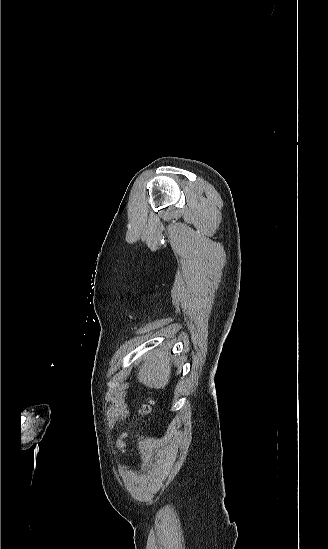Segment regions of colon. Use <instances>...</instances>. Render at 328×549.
<instances>
[{"label":"colon","instance_id":"1","mask_svg":"<svg viewBox=\"0 0 328 549\" xmlns=\"http://www.w3.org/2000/svg\"><path fill=\"white\" fill-rule=\"evenodd\" d=\"M150 412V404H146L144 405L138 412V416L139 418H143L144 416H146L148 413ZM118 445L120 448H124L125 446V441H124V437H121L119 439V442H118Z\"/></svg>","mask_w":328,"mask_h":549}]
</instances>
